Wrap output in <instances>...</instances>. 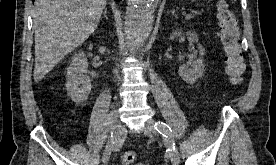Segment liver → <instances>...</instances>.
I'll return each mask as SVG.
<instances>
[{"label":"liver","mask_w":276,"mask_h":165,"mask_svg":"<svg viewBox=\"0 0 276 165\" xmlns=\"http://www.w3.org/2000/svg\"><path fill=\"white\" fill-rule=\"evenodd\" d=\"M107 0H36L34 81H41L96 29Z\"/></svg>","instance_id":"liver-1"}]
</instances>
